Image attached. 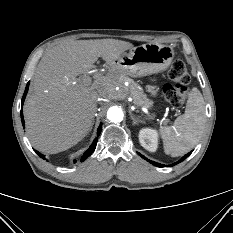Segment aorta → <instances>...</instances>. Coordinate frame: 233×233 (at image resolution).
Returning <instances> with one entry per match:
<instances>
[{
  "label": "aorta",
  "instance_id": "1",
  "mask_svg": "<svg viewBox=\"0 0 233 233\" xmlns=\"http://www.w3.org/2000/svg\"><path fill=\"white\" fill-rule=\"evenodd\" d=\"M107 118L114 123L120 122L123 119V112L118 107H111L107 112Z\"/></svg>",
  "mask_w": 233,
  "mask_h": 233
}]
</instances>
